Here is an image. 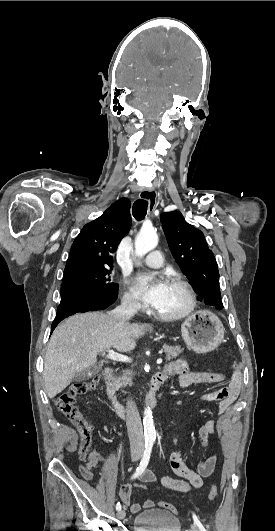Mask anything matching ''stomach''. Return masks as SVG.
<instances>
[{"mask_svg": "<svg viewBox=\"0 0 275 531\" xmlns=\"http://www.w3.org/2000/svg\"><path fill=\"white\" fill-rule=\"evenodd\" d=\"M224 327L217 315L210 311H196L181 325V335L187 347L198 353H210L224 339Z\"/></svg>", "mask_w": 275, "mask_h": 531, "instance_id": "stomach-1", "label": "stomach"}]
</instances>
